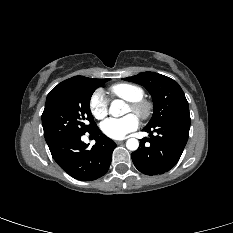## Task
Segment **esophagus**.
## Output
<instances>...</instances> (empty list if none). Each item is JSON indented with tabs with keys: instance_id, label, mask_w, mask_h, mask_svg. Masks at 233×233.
I'll return each instance as SVG.
<instances>
[{
	"instance_id": "1",
	"label": "esophagus",
	"mask_w": 233,
	"mask_h": 233,
	"mask_svg": "<svg viewBox=\"0 0 233 233\" xmlns=\"http://www.w3.org/2000/svg\"><path fill=\"white\" fill-rule=\"evenodd\" d=\"M122 143H123V141H116V144H118V145H120Z\"/></svg>"
}]
</instances>
